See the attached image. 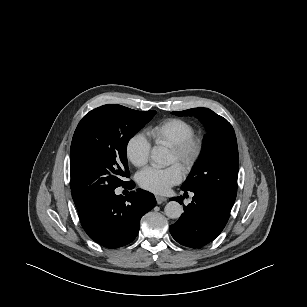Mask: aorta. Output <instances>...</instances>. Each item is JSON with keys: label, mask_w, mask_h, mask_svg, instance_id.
Masks as SVG:
<instances>
[{"label": "aorta", "mask_w": 307, "mask_h": 307, "mask_svg": "<svg viewBox=\"0 0 307 307\" xmlns=\"http://www.w3.org/2000/svg\"><path fill=\"white\" fill-rule=\"evenodd\" d=\"M151 161L158 166L169 165L168 152L163 147H154L151 151ZM165 215L170 219H178L183 213L182 206L176 201H170L164 208Z\"/></svg>", "instance_id": "aorta-1"}]
</instances>
